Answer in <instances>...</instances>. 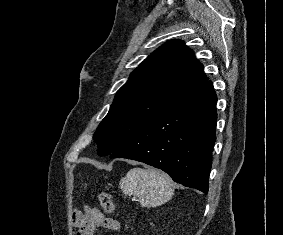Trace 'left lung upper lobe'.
I'll list each match as a JSON object with an SVG mask.
<instances>
[{
	"label": "left lung upper lobe",
	"instance_id": "5c2ea615",
	"mask_svg": "<svg viewBox=\"0 0 283 235\" xmlns=\"http://www.w3.org/2000/svg\"><path fill=\"white\" fill-rule=\"evenodd\" d=\"M203 66L180 40L155 50L117 91L94 134L99 155H110L167 109L207 82Z\"/></svg>",
	"mask_w": 283,
	"mask_h": 235
}]
</instances>
